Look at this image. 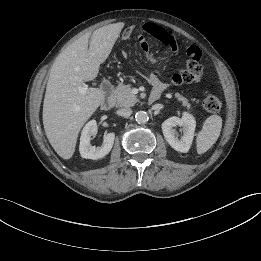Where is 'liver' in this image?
Wrapping results in <instances>:
<instances>
[{
    "label": "liver",
    "instance_id": "liver-1",
    "mask_svg": "<svg viewBox=\"0 0 261 261\" xmlns=\"http://www.w3.org/2000/svg\"><path fill=\"white\" fill-rule=\"evenodd\" d=\"M122 27L120 23L110 24L81 36L52 65L43 103V125L49 143L63 159L73 156L81 128L105 99L99 88L90 87L81 94L78 87L97 77Z\"/></svg>",
    "mask_w": 261,
    "mask_h": 261
}]
</instances>
